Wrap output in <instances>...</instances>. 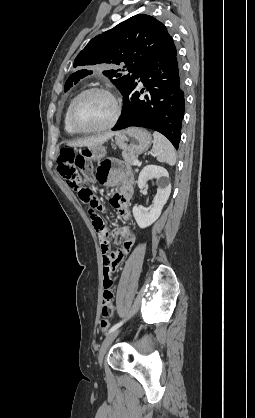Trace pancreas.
Wrapping results in <instances>:
<instances>
[{
  "label": "pancreas",
  "instance_id": "pancreas-1",
  "mask_svg": "<svg viewBox=\"0 0 255 418\" xmlns=\"http://www.w3.org/2000/svg\"><path fill=\"white\" fill-rule=\"evenodd\" d=\"M122 157H123V159H124V161H125V163L127 165H132L133 162L135 160H137V156L136 155H132V154L125 153V152L122 153Z\"/></svg>",
  "mask_w": 255,
  "mask_h": 418
}]
</instances>
